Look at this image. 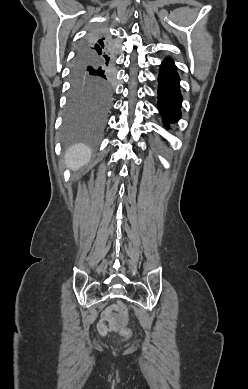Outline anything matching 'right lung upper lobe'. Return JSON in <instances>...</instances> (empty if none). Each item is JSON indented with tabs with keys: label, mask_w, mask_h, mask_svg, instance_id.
<instances>
[{
	"label": "right lung upper lobe",
	"mask_w": 248,
	"mask_h": 389,
	"mask_svg": "<svg viewBox=\"0 0 248 389\" xmlns=\"http://www.w3.org/2000/svg\"><path fill=\"white\" fill-rule=\"evenodd\" d=\"M97 34V33H95ZM95 34H92L88 41H91L92 37L95 35ZM106 40H104L103 42H101L100 45H95V47H91L90 46V51L92 52V56L94 59H97V60H103L104 62L108 63V64H111L112 62V57H113V47L109 44V42L107 43V50H105L104 52V48H102V44L105 43ZM101 47V48H100Z\"/></svg>",
	"instance_id": "obj_1"
}]
</instances>
